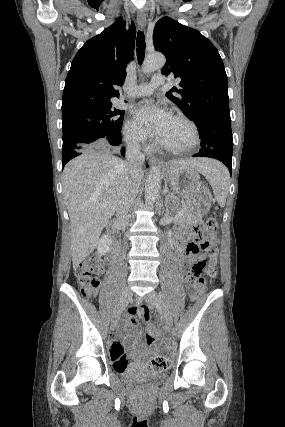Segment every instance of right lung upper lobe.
Returning a JSON list of instances; mask_svg holds the SVG:
<instances>
[{
	"label": "right lung upper lobe",
	"mask_w": 285,
	"mask_h": 427,
	"mask_svg": "<svg viewBox=\"0 0 285 427\" xmlns=\"http://www.w3.org/2000/svg\"><path fill=\"white\" fill-rule=\"evenodd\" d=\"M136 29L127 31L122 18L86 41L71 63L62 99L63 117L112 104L116 86L125 80L133 59Z\"/></svg>",
	"instance_id": "cb5924a9"
}]
</instances>
